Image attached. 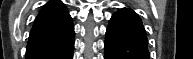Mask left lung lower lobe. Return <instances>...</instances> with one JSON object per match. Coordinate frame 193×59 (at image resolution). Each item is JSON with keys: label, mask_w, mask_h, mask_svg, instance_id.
Instances as JSON below:
<instances>
[{"label": "left lung lower lobe", "mask_w": 193, "mask_h": 59, "mask_svg": "<svg viewBox=\"0 0 193 59\" xmlns=\"http://www.w3.org/2000/svg\"><path fill=\"white\" fill-rule=\"evenodd\" d=\"M147 44L137 15L118 11L112 16L106 31L105 59H149Z\"/></svg>", "instance_id": "0a47b994"}]
</instances>
